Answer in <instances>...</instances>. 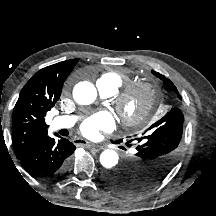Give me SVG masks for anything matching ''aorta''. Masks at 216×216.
<instances>
[{"mask_svg":"<svg viewBox=\"0 0 216 216\" xmlns=\"http://www.w3.org/2000/svg\"><path fill=\"white\" fill-rule=\"evenodd\" d=\"M97 91L90 82H79L73 89L74 100L81 105H89L95 101ZM119 156L116 151L107 149L100 155V163L106 169H111L118 164Z\"/></svg>","mask_w":216,"mask_h":216,"instance_id":"1","label":"aorta"}]
</instances>
